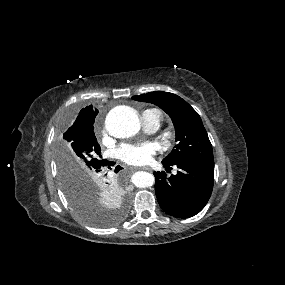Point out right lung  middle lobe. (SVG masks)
<instances>
[{"mask_svg":"<svg viewBox=\"0 0 285 285\" xmlns=\"http://www.w3.org/2000/svg\"><path fill=\"white\" fill-rule=\"evenodd\" d=\"M93 128L65 132L57 144V166L64 194L74 211L95 227H108L99 194H112L124 204L113 179H102L103 160ZM118 220V216L114 217Z\"/></svg>","mask_w":285,"mask_h":285,"instance_id":"obj_1","label":"right lung middle lobe"}]
</instances>
